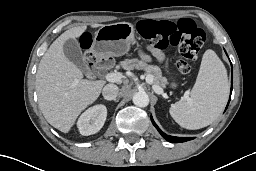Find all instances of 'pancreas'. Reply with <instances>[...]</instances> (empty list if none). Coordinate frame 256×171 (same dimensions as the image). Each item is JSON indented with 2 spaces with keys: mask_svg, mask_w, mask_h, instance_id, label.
Wrapping results in <instances>:
<instances>
[{
  "mask_svg": "<svg viewBox=\"0 0 256 171\" xmlns=\"http://www.w3.org/2000/svg\"><path fill=\"white\" fill-rule=\"evenodd\" d=\"M142 60L138 59H130L121 62V65L126 70L132 69H144L146 75H151L153 77V84L158 85L159 87L164 88L166 84V80L162 77L161 70L152 65H148L146 62L150 61V57L148 55H142Z\"/></svg>",
  "mask_w": 256,
  "mask_h": 171,
  "instance_id": "1",
  "label": "pancreas"
}]
</instances>
